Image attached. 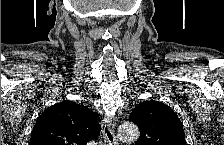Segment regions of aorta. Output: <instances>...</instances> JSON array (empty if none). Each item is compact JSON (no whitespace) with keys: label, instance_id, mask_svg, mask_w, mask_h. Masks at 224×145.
Instances as JSON below:
<instances>
[{"label":"aorta","instance_id":"1","mask_svg":"<svg viewBox=\"0 0 224 145\" xmlns=\"http://www.w3.org/2000/svg\"><path fill=\"white\" fill-rule=\"evenodd\" d=\"M139 135L137 125L132 122H125L118 128V136L123 142L134 143L138 140Z\"/></svg>","mask_w":224,"mask_h":145}]
</instances>
